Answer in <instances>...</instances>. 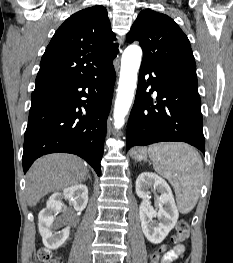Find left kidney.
<instances>
[{
	"label": "left kidney",
	"mask_w": 233,
	"mask_h": 263,
	"mask_svg": "<svg viewBox=\"0 0 233 263\" xmlns=\"http://www.w3.org/2000/svg\"><path fill=\"white\" fill-rule=\"evenodd\" d=\"M150 188L160 193L158 212L151 206ZM136 194L142 199L139 216L143 233L148 241L159 244L174 228L179 217L170 186L157 174L143 172L136 179ZM156 217L158 221L154 220Z\"/></svg>",
	"instance_id": "1"
}]
</instances>
